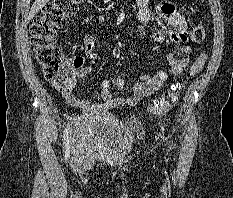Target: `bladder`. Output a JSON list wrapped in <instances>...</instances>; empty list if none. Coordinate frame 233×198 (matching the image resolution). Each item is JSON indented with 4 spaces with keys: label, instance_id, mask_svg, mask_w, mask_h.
<instances>
[{
    "label": "bladder",
    "instance_id": "obj_1",
    "mask_svg": "<svg viewBox=\"0 0 233 198\" xmlns=\"http://www.w3.org/2000/svg\"><path fill=\"white\" fill-rule=\"evenodd\" d=\"M143 133L138 122H122L108 113H82L71 124V142L84 153H129Z\"/></svg>",
    "mask_w": 233,
    "mask_h": 198
}]
</instances>
